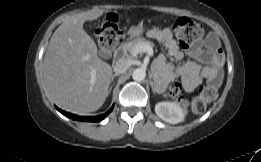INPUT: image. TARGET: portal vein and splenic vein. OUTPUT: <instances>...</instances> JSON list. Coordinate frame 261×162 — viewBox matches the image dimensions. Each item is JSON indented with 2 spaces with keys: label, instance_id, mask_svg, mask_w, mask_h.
Instances as JSON below:
<instances>
[{
  "label": "portal vein and splenic vein",
  "instance_id": "1",
  "mask_svg": "<svg viewBox=\"0 0 261 162\" xmlns=\"http://www.w3.org/2000/svg\"><path fill=\"white\" fill-rule=\"evenodd\" d=\"M142 52H146L149 56H153V49L149 44H138L132 54L137 55Z\"/></svg>",
  "mask_w": 261,
  "mask_h": 162
}]
</instances>
